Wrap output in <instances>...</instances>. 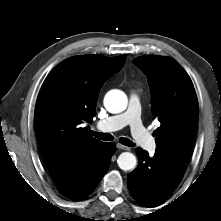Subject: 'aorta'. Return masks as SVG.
Returning <instances> with one entry per match:
<instances>
[{
  "label": "aorta",
  "mask_w": 221,
  "mask_h": 221,
  "mask_svg": "<svg viewBox=\"0 0 221 221\" xmlns=\"http://www.w3.org/2000/svg\"><path fill=\"white\" fill-rule=\"evenodd\" d=\"M127 96L121 90H110L104 97V106L112 114L123 112L127 107ZM117 163L120 169L129 171L135 168L137 160L134 154L123 152L119 155Z\"/></svg>",
  "instance_id": "762f6f07"
}]
</instances>
